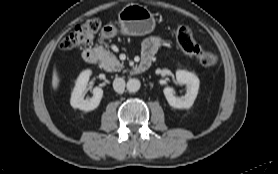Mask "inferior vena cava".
<instances>
[{"label":"inferior vena cava","instance_id":"obj_1","mask_svg":"<svg viewBox=\"0 0 278 174\" xmlns=\"http://www.w3.org/2000/svg\"><path fill=\"white\" fill-rule=\"evenodd\" d=\"M113 88L116 92L122 93L125 89V80L123 78H115L113 81Z\"/></svg>","mask_w":278,"mask_h":174}]
</instances>
